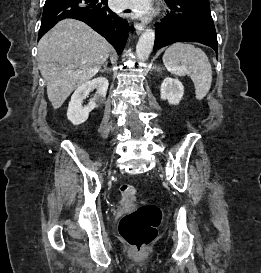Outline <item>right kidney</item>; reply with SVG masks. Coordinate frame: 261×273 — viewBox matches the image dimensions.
<instances>
[{
	"instance_id": "ca27d5eb",
	"label": "right kidney",
	"mask_w": 261,
	"mask_h": 273,
	"mask_svg": "<svg viewBox=\"0 0 261 273\" xmlns=\"http://www.w3.org/2000/svg\"><path fill=\"white\" fill-rule=\"evenodd\" d=\"M109 82L105 77H97L91 81H87L80 85L71 97V101L67 110V118L74 125L84 123L89 113L96 108L99 103H103L106 97ZM96 89L97 92L92 100L86 105L82 106L83 99L89 95L90 91Z\"/></svg>"
}]
</instances>
